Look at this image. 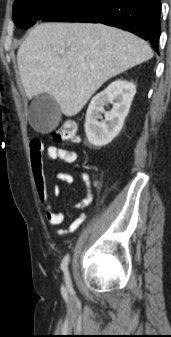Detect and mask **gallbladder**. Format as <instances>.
I'll list each match as a JSON object with an SVG mask.
<instances>
[{"instance_id": "gallbladder-1", "label": "gallbladder", "mask_w": 171, "mask_h": 337, "mask_svg": "<svg viewBox=\"0 0 171 337\" xmlns=\"http://www.w3.org/2000/svg\"><path fill=\"white\" fill-rule=\"evenodd\" d=\"M29 115L30 124L39 132H50L61 119V111L56 100L46 93L34 98Z\"/></svg>"}]
</instances>
